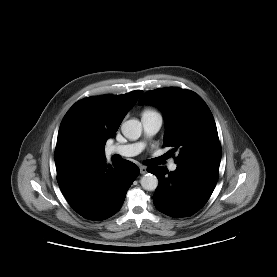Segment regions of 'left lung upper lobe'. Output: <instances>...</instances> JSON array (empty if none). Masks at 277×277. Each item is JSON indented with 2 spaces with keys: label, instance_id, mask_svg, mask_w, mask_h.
<instances>
[{
  "label": "left lung upper lobe",
  "instance_id": "obj_1",
  "mask_svg": "<svg viewBox=\"0 0 277 277\" xmlns=\"http://www.w3.org/2000/svg\"><path fill=\"white\" fill-rule=\"evenodd\" d=\"M139 104L160 108L166 118L163 144L178 152L177 165L221 160V146L213 115L196 93L174 87L146 92Z\"/></svg>",
  "mask_w": 277,
  "mask_h": 277
}]
</instances>
